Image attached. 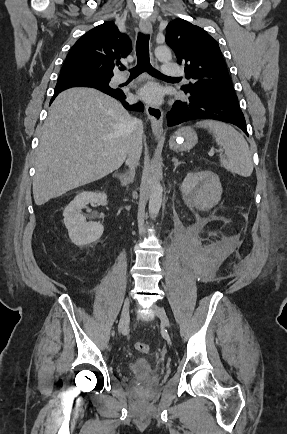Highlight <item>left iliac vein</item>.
<instances>
[{
	"instance_id": "left-iliac-vein-1",
	"label": "left iliac vein",
	"mask_w": 287,
	"mask_h": 434,
	"mask_svg": "<svg viewBox=\"0 0 287 434\" xmlns=\"http://www.w3.org/2000/svg\"><path fill=\"white\" fill-rule=\"evenodd\" d=\"M153 309H154L155 314L161 320L162 324L165 327H170V321H169V318H168V315H167L165 309L162 307L156 306V305L153 306Z\"/></svg>"
}]
</instances>
